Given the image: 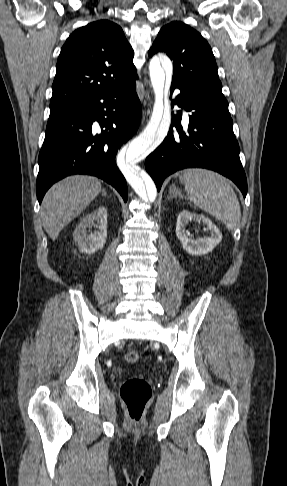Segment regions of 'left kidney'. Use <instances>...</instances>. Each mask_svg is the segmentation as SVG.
I'll use <instances>...</instances> for the list:
<instances>
[{"mask_svg":"<svg viewBox=\"0 0 287 486\" xmlns=\"http://www.w3.org/2000/svg\"><path fill=\"white\" fill-rule=\"evenodd\" d=\"M202 222L210 231V236L200 239H192L186 231V225L191 222ZM176 235L181 241L183 249L191 255H205L211 252L222 240L220 230L204 215L183 210L179 213L176 223Z\"/></svg>","mask_w":287,"mask_h":486,"instance_id":"obj_1","label":"left kidney"}]
</instances>
